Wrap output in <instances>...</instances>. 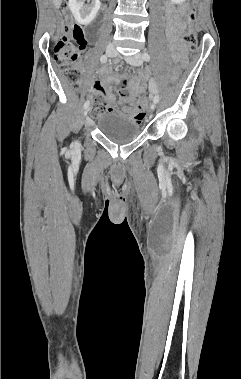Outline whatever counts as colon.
I'll list each match as a JSON object with an SVG mask.
<instances>
[{
  "mask_svg": "<svg viewBox=\"0 0 241 379\" xmlns=\"http://www.w3.org/2000/svg\"><path fill=\"white\" fill-rule=\"evenodd\" d=\"M60 12L64 18V31L55 46L54 60L58 68L64 76L70 81L73 87L78 85L79 66L81 57L86 47V40L83 29L72 22L71 16L64 5L60 6ZM196 9L188 7L184 11V17L187 22H192L195 18ZM183 41L194 55L197 48L196 34L189 30L183 34ZM179 77L178 71H173L168 76L170 81L176 82ZM121 95H125V91H120ZM139 98L142 103H148L149 97L146 92H140ZM112 109L111 102L108 98L101 94H95L92 98V115L98 116L101 113Z\"/></svg>",
  "mask_w": 241,
  "mask_h": 379,
  "instance_id": "1",
  "label": "colon"
}]
</instances>
